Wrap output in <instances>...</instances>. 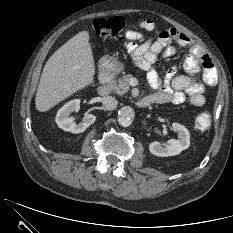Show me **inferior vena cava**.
<instances>
[{
	"label": "inferior vena cava",
	"mask_w": 233,
	"mask_h": 233,
	"mask_svg": "<svg viewBox=\"0 0 233 233\" xmlns=\"http://www.w3.org/2000/svg\"><path fill=\"white\" fill-rule=\"evenodd\" d=\"M103 105L107 110H114L117 107L118 101L112 96L103 97Z\"/></svg>",
	"instance_id": "obj_1"
}]
</instances>
